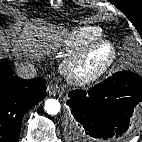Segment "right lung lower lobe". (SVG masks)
Returning <instances> with one entry per match:
<instances>
[{
	"instance_id": "obj_1",
	"label": "right lung lower lobe",
	"mask_w": 142,
	"mask_h": 142,
	"mask_svg": "<svg viewBox=\"0 0 142 142\" xmlns=\"http://www.w3.org/2000/svg\"><path fill=\"white\" fill-rule=\"evenodd\" d=\"M46 95L43 78L24 80L0 62V142H19L24 114Z\"/></svg>"
}]
</instances>
